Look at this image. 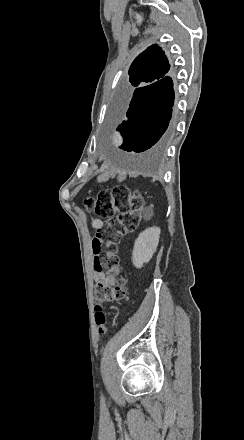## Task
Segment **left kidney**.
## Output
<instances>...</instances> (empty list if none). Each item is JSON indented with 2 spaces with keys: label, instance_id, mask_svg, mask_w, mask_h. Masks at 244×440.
Here are the masks:
<instances>
[{
  "label": "left kidney",
  "instance_id": "1",
  "mask_svg": "<svg viewBox=\"0 0 244 440\" xmlns=\"http://www.w3.org/2000/svg\"><path fill=\"white\" fill-rule=\"evenodd\" d=\"M160 228H147L144 232L139 234L135 240L132 262L135 268H143V264L150 262L154 252L157 250L160 238Z\"/></svg>",
  "mask_w": 244,
  "mask_h": 440
}]
</instances>
